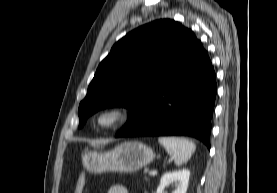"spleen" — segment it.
I'll use <instances>...</instances> for the list:
<instances>
[{
    "label": "spleen",
    "instance_id": "spleen-1",
    "mask_svg": "<svg viewBox=\"0 0 277 193\" xmlns=\"http://www.w3.org/2000/svg\"><path fill=\"white\" fill-rule=\"evenodd\" d=\"M168 154L174 158L175 164L180 166L186 163L195 152L196 146L193 142L181 137H159Z\"/></svg>",
    "mask_w": 277,
    "mask_h": 193
}]
</instances>
